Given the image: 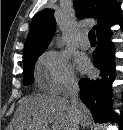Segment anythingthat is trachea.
<instances>
[{"label": "trachea", "instance_id": "3493384b", "mask_svg": "<svg viewBox=\"0 0 123 130\" xmlns=\"http://www.w3.org/2000/svg\"><path fill=\"white\" fill-rule=\"evenodd\" d=\"M88 37H89L90 41H96L95 31L94 30H90L89 34H88Z\"/></svg>", "mask_w": 123, "mask_h": 130}]
</instances>
